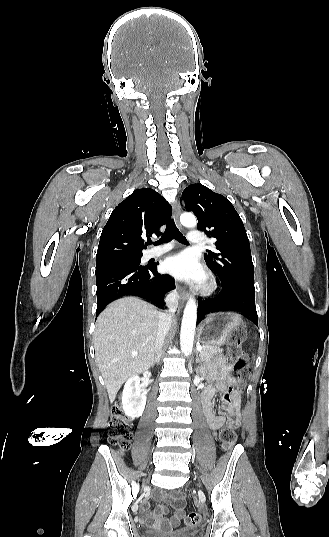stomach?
Instances as JSON below:
<instances>
[{
    "label": "stomach",
    "mask_w": 329,
    "mask_h": 537,
    "mask_svg": "<svg viewBox=\"0 0 329 537\" xmlns=\"http://www.w3.org/2000/svg\"><path fill=\"white\" fill-rule=\"evenodd\" d=\"M244 327L241 316L236 313H212L199 327L198 335L201 343L220 346L228 341L230 334L243 331Z\"/></svg>",
    "instance_id": "1"
}]
</instances>
